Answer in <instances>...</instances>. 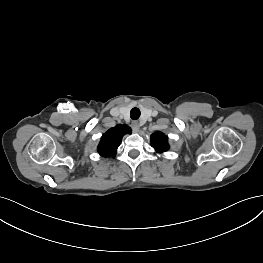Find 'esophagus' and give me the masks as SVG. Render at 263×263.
<instances>
[{"label": "esophagus", "instance_id": "34e87169", "mask_svg": "<svg viewBox=\"0 0 263 263\" xmlns=\"http://www.w3.org/2000/svg\"><path fill=\"white\" fill-rule=\"evenodd\" d=\"M131 127L133 129L134 132H138L139 128H140V124L138 121H133L131 124Z\"/></svg>", "mask_w": 263, "mask_h": 263}]
</instances>
